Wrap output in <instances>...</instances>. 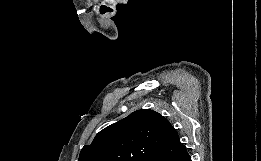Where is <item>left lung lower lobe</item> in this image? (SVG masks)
<instances>
[{
	"label": "left lung lower lobe",
	"mask_w": 261,
	"mask_h": 161,
	"mask_svg": "<svg viewBox=\"0 0 261 161\" xmlns=\"http://www.w3.org/2000/svg\"><path fill=\"white\" fill-rule=\"evenodd\" d=\"M150 161H191V158L176 135L169 145L160 147Z\"/></svg>",
	"instance_id": "left-lung-lower-lobe-1"
}]
</instances>
